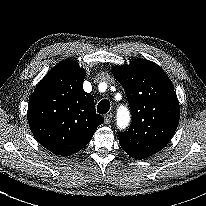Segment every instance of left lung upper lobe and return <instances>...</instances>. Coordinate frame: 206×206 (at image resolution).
<instances>
[{
  "mask_svg": "<svg viewBox=\"0 0 206 206\" xmlns=\"http://www.w3.org/2000/svg\"><path fill=\"white\" fill-rule=\"evenodd\" d=\"M112 71L132 110L129 129L119 132L120 145L149 157L163 149L177 129L180 106L173 85L161 67L145 59Z\"/></svg>",
  "mask_w": 206,
  "mask_h": 206,
  "instance_id": "1",
  "label": "left lung upper lobe"
}]
</instances>
